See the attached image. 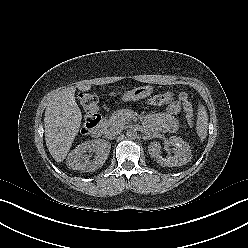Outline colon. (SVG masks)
<instances>
[{"label": "colon", "instance_id": "5ec220e1", "mask_svg": "<svg viewBox=\"0 0 248 248\" xmlns=\"http://www.w3.org/2000/svg\"><path fill=\"white\" fill-rule=\"evenodd\" d=\"M170 99V93H160L154 95L151 98V103L154 105H162L167 103ZM178 99L183 104L188 120L192 122L193 108L188 99L187 94L179 93ZM79 101L85 111V118L81 129V133L86 134L92 131L101 119L98 109V97L93 93H81L79 96Z\"/></svg>", "mask_w": 248, "mask_h": 248}]
</instances>
